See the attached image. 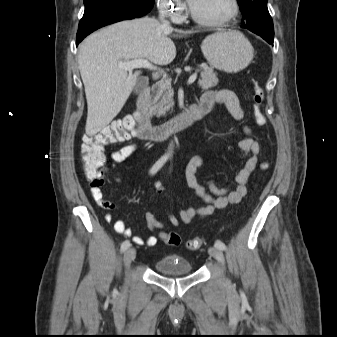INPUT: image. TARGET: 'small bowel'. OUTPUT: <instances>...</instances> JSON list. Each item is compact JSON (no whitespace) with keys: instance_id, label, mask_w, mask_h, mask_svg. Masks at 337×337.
I'll return each mask as SVG.
<instances>
[{"instance_id":"1","label":"small bowel","mask_w":337,"mask_h":337,"mask_svg":"<svg viewBox=\"0 0 337 337\" xmlns=\"http://www.w3.org/2000/svg\"><path fill=\"white\" fill-rule=\"evenodd\" d=\"M200 102L209 105L211 108L215 103H223L233 118L240 120L244 117L243 107L236 94L231 90L222 89L218 91H207L201 96ZM243 132L244 138L239 142V148L245 155L246 161L244 166L235 176V186L233 188L219 187L212 179L208 180L206 185L200 184L196 174L197 171L206 164V159L199 155L191 157L185 167L186 182L188 186L194 190L196 196L204 203V205L181 210L179 218L175 214L170 213L168 215V220L171 225L178 227L181 222L190 224L195 220L204 219L212 215L218 209H222L228 205L238 204L246 195L248 181L258 163L260 145L253 139L251 130L247 126L243 127ZM137 150L138 144L130 143L113 151L110 155V159L114 163H121L133 156ZM117 181L120 182L121 180L117 178ZM153 188L157 195H161L164 192L163 185L158 181L154 183ZM90 193L93 200L100 208L107 211L115 208L113 202L104 199L100 187L92 186ZM104 217L107 222H112L114 220L111 213H106ZM145 220L150 229L162 230L165 228L164 223L159 221L152 212H147L145 214ZM114 230L123 236L132 237L137 245H147L152 247L158 243V237L156 236H149L145 239L140 236H133L132 229L122 219H116L114 221Z\"/></svg>"}]
</instances>
